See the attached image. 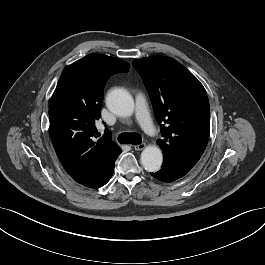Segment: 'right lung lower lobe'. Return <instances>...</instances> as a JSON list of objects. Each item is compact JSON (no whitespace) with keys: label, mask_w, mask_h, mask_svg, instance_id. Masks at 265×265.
Segmentation results:
<instances>
[{"label":"right lung lower lobe","mask_w":265,"mask_h":265,"mask_svg":"<svg viewBox=\"0 0 265 265\" xmlns=\"http://www.w3.org/2000/svg\"><path fill=\"white\" fill-rule=\"evenodd\" d=\"M121 150L102 157L88 171L73 175L72 178L79 184L89 188H99L105 185L114 172V165Z\"/></svg>","instance_id":"98d812e1"}]
</instances>
